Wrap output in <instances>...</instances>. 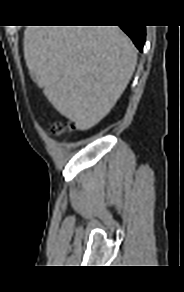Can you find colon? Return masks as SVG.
I'll return each instance as SVG.
<instances>
[{
	"instance_id": "1",
	"label": "colon",
	"mask_w": 184,
	"mask_h": 292,
	"mask_svg": "<svg viewBox=\"0 0 184 292\" xmlns=\"http://www.w3.org/2000/svg\"><path fill=\"white\" fill-rule=\"evenodd\" d=\"M75 126L72 122H55L50 126V132L55 135L62 134L74 130Z\"/></svg>"
}]
</instances>
